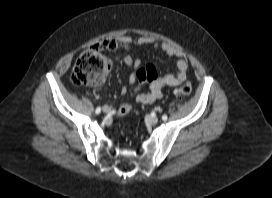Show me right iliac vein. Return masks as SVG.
<instances>
[{
  "instance_id": "1",
  "label": "right iliac vein",
  "mask_w": 272,
  "mask_h": 198,
  "mask_svg": "<svg viewBox=\"0 0 272 198\" xmlns=\"http://www.w3.org/2000/svg\"><path fill=\"white\" fill-rule=\"evenodd\" d=\"M102 110H103L104 113H109L110 110H111V108H110L109 106L105 105V106L102 108Z\"/></svg>"
}]
</instances>
